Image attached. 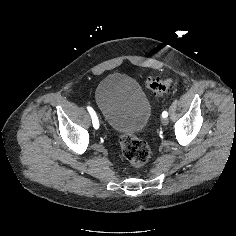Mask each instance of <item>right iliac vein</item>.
<instances>
[{"label":"right iliac vein","mask_w":236,"mask_h":236,"mask_svg":"<svg viewBox=\"0 0 236 236\" xmlns=\"http://www.w3.org/2000/svg\"><path fill=\"white\" fill-rule=\"evenodd\" d=\"M98 114V113H97ZM97 118L100 120V118H99V114L97 115ZM100 124H101V126H104V124L100 121Z\"/></svg>","instance_id":"right-iliac-vein-1"}]
</instances>
